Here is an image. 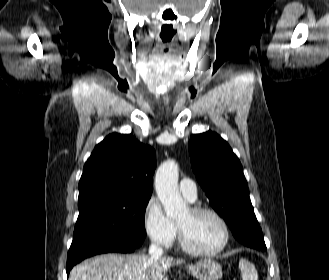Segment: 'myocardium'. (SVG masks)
Returning <instances> with one entry per match:
<instances>
[{"label":"myocardium","instance_id":"f54148a6","mask_svg":"<svg viewBox=\"0 0 329 280\" xmlns=\"http://www.w3.org/2000/svg\"><path fill=\"white\" fill-rule=\"evenodd\" d=\"M189 210L193 215L208 214L212 216L222 228L223 240L221 244L214 250L205 251V250L196 249L188 243L181 226L177 224L178 236H179V242L181 248L186 253L197 257H215L220 253H222L228 246L231 239L230 229L224 217L215 209L206 206L195 205L190 207Z\"/></svg>","mask_w":329,"mask_h":280}]
</instances>
